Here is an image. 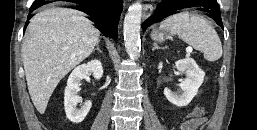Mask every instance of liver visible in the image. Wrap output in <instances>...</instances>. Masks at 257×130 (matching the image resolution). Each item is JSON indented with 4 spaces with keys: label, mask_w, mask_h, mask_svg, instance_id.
<instances>
[{
    "label": "liver",
    "mask_w": 257,
    "mask_h": 130,
    "mask_svg": "<svg viewBox=\"0 0 257 130\" xmlns=\"http://www.w3.org/2000/svg\"><path fill=\"white\" fill-rule=\"evenodd\" d=\"M99 35L92 22L73 9L47 8L30 20L22 60L29 94L40 114L60 80L92 53Z\"/></svg>",
    "instance_id": "liver-1"
}]
</instances>
